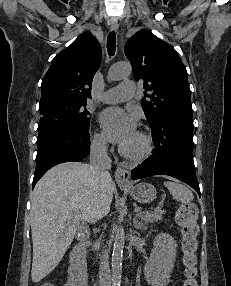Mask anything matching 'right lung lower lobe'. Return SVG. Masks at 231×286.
<instances>
[{
  "instance_id": "obj_1",
  "label": "right lung lower lobe",
  "mask_w": 231,
  "mask_h": 286,
  "mask_svg": "<svg viewBox=\"0 0 231 286\" xmlns=\"http://www.w3.org/2000/svg\"><path fill=\"white\" fill-rule=\"evenodd\" d=\"M37 145L33 187L51 167L63 162L81 161L89 154V129H58L38 137Z\"/></svg>"
}]
</instances>
